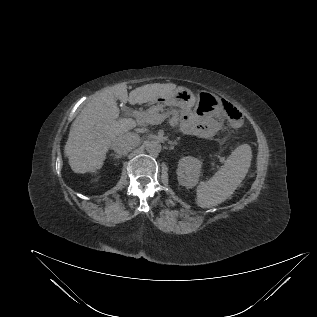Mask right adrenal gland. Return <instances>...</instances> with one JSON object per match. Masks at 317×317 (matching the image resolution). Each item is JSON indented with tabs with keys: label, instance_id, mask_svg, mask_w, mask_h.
<instances>
[{
	"label": "right adrenal gland",
	"instance_id": "2a0ac1e0",
	"mask_svg": "<svg viewBox=\"0 0 317 317\" xmlns=\"http://www.w3.org/2000/svg\"><path fill=\"white\" fill-rule=\"evenodd\" d=\"M111 155L114 156V159H119L122 157L121 155L115 153H112Z\"/></svg>",
	"mask_w": 317,
	"mask_h": 317
}]
</instances>
